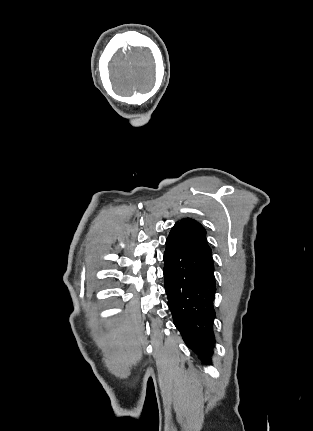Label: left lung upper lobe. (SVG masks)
<instances>
[{
    "label": "left lung upper lobe",
    "mask_w": 313,
    "mask_h": 431,
    "mask_svg": "<svg viewBox=\"0 0 313 431\" xmlns=\"http://www.w3.org/2000/svg\"><path fill=\"white\" fill-rule=\"evenodd\" d=\"M175 226H182L187 231H189L192 235L199 238L203 242L207 243V240L205 237L206 236L205 228L200 223L195 221L194 219L185 218V219L181 220L180 222H177L175 224Z\"/></svg>",
    "instance_id": "5c2ea615"
}]
</instances>
